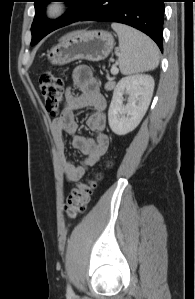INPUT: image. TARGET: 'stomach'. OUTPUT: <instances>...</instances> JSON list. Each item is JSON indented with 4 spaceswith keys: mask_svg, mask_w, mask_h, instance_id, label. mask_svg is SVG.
<instances>
[{
    "mask_svg": "<svg viewBox=\"0 0 195 299\" xmlns=\"http://www.w3.org/2000/svg\"><path fill=\"white\" fill-rule=\"evenodd\" d=\"M114 46L111 33L104 30L75 31L47 53L48 60L55 65H64L75 60L101 61L108 57Z\"/></svg>",
    "mask_w": 195,
    "mask_h": 299,
    "instance_id": "1",
    "label": "stomach"
}]
</instances>
